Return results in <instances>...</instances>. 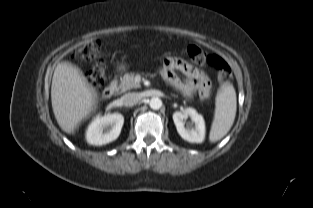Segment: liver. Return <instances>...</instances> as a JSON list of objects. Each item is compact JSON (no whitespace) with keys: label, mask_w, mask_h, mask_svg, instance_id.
Returning a JSON list of instances; mask_svg holds the SVG:
<instances>
[{"label":"liver","mask_w":313,"mask_h":208,"mask_svg":"<svg viewBox=\"0 0 313 208\" xmlns=\"http://www.w3.org/2000/svg\"><path fill=\"white\" fill-rule=\"evenodd\" d=\"M51 101L60 128L73 133L77 125L94 111L96 93L78 67L61 62L53 74Z\"/></svg>","instance_id":"6515ba94"}]
</instances>
